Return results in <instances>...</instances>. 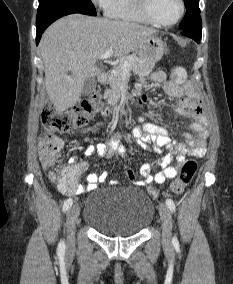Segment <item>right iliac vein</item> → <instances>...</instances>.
<instances>
[{
    "mask_svg": "<svg viewBox=\"0 0 233 284\" xmlns=\"http://www.w3.org/2000/svg\"><path fill=\"white\" fill-rule=\"evenodd\" d=\"M80 208L77 204H74L67 213V233H68V244L72 246L74 243V233H75V224L79 216Z\"/></svg>",
    "mask_w": 233,
    "mask_h": 284,
    "instance_id": "1",
    "label": "right iliac vein"
}]
</instances>
